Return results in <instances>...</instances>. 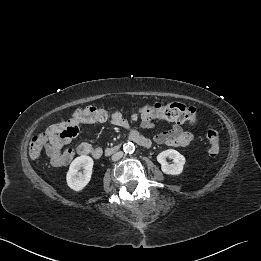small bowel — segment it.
<instances>
[{"mask_svg":"<svg viewBox=\"0 0 261 261\" xmlns=\"http://www.w3.org/2000/svg\"><path fill=\"white\" fill-rule=\"evenodd\" d=\"M109 122L114 126L128 131L129 134L138 133L136 129L130 126L128 120L121 115H118L115 119H111ZM72 125H74V120L71 118L66 122H59L48 126L45 131L50 136L49 144L46 147V154L54 166L66 165L74 157V151L71 149L63 151L64 144L59 141V135ZM141 126L143 128H153L154 124L148 122L142 123ZM193 139V134L186 131L179 122H175L169 130L163 131L153 137L154 143L165 144L170 147H186L192 143ZM76 152L79 155L99 157L102 150L100 147L84 142L77 147Z\"/></svg>","mask_w":261,"mask_h":261,"instance_id":"obj_1","label":"small bowel"}]
</instances>
